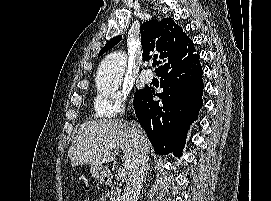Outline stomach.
<instances>
[{
	"label": "stomach",
	"instance_id": "obj_1",
	"mask_svg": "<svg viewBox=\"0 0 271 201\" xmlns=\"http://www.w3.org/2000/svg\"><path fill=\"white\" fill-rule=\"evenodd\" d=\"M106 172V168L102 165H94L90 168V173L94 179L101 180L103 179Z\"/></svg>",
	"mask_w": 271,
	"mask_h": 201
}]
</instances>
